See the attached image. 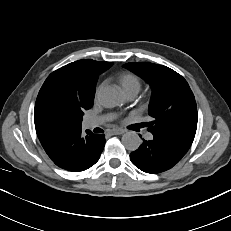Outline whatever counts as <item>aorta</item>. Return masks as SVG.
<instances>
[{"instance_id":"1","label":"aorta","mask_w":231,"mask_h":231,"mask_svg":"<svg viewBox=\"0 0 231 231\" xmlns=\"http://www.w3.org/2000/svg\"><path fill=\"white\" fill-rule=\"evenodd\" d=\"M98 100L107 108L118 106L122 102L119 90L113 86H106L98 92ZM122 143L127 150L135 151L141 144L139 135L134 131L126 132L122 136Z\"/></svg>"}]
</instances>
